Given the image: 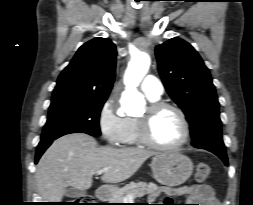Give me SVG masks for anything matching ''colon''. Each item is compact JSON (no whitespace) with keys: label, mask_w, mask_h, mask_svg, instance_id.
<instances>
[{"label":"colon","mask_w":253,"mask_h":205,"mask_svg":"<svg viewBox=\"0 0 253 205\" xmlns=\"http://www.w3.org/2000/svg\"><path fill=\"white\" fill-rule=\"evenodd\" d=\"M213 177L211 167L205 163L200 162L196 168V180L199 183H205ZM73 205H92V199L88 195L81 196L74 200Z\"/></svg>","instance_id":"1"}]
</instances>
